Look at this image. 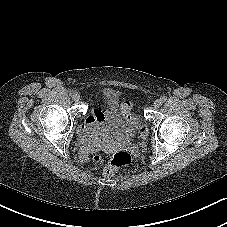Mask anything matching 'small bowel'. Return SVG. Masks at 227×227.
I'll return each mask as SVG.
<instances>
[{"mask_svg": "<svg viewBox=\"0 0 227 227\" xmlns=\"http://www.w3.org/2000/svg\"><path fill=\"white\" fill-rule=\"evenodd\" d=\"M109 115L100 109H95L79 127L78 135L88 151H93L102 140L104 124Z\"/></svg>", "mask_w": 227, "mask_h": 227, "instance_id": "c3829d8e", "label": "small bowel"}]
</instances>
